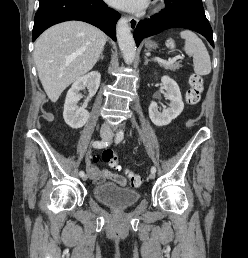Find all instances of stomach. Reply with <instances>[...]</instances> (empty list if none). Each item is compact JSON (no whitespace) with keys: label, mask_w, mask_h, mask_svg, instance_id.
Returning <instances> with one entry per match:
<instances>
[{"label":"stomach","mask_w":248,"mask_h":258,"mask_svg":"<svg viewBox=\"0 0 248 258\" xmlns=\"http://www.w3.org/2000/svg\"><path fill=\"white\" fill-rule=\"evenodd\" d=\"M146 47L148 49H155L157 47L156 43L152 42V41H149L146 43Z\"/></svg>","instance_id":"1"}]
</instances>
